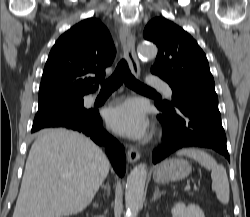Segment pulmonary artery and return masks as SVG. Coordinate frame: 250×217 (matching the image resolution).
<instances>
[{"mask_svg": "<svg viewBox=\"0 0 250 217\" xmlns=\"http://www.w3.org/2000/svg\"><path fill=\"white\" fill-rule=\"evenodd\" d=\"M147 82L154 88L159 89L160 91H162L167 97L171 98L172 97V89L169 86L168 83H166L165 81L162 80H158V79H148Z\"/></svg>", "mask_w": 250, "mask_h": 217, "instance_id": "obj_1", "label": "pulmonary artery"}]
</instances>
